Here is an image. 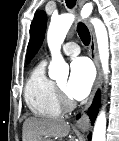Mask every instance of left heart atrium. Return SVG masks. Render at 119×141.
<instances>
[{"mask_svg":"<svg viewBox=\"0 0 119 141\" xmlns=\"http://www.w3.org/2000/svg\"><path fill=\"white\" fill-rule=\"evenodd\" d=\"M94 76L93 67L88 59H74L70 64V77L66 84L68 96L74 100L84 99L91 90Z\"/></svg>","mask_w":119,"mask_h":141,"instance_id":"left-heart-atrium-1","label":"left heart atrium"}]
</instances>
